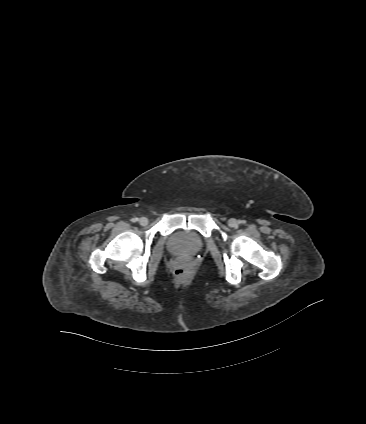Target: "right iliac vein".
Here are the masks:
<instances>
[{
  "instance_id": "1",
  "label": "right iliac vein",
  "mask_w": 366,
  "mask_h": 424,
  "mask_svg": "<svg viewBox=\"0 0 366 424\" xmlns=\"http://www.w3.org/2000/svg\"><path fill=\"white\" fill-rule=\"evenodd\" d=\"M141 226H146L148 224V219L146 217H142L139 220Z\"/></svg>"
}]
</instances>
